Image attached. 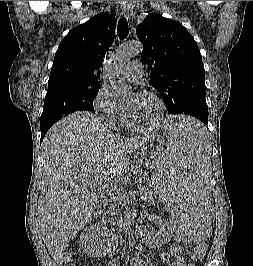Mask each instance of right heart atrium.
<instances>
[{"instance_id":"right-heart-atrium-1","label":"right heart atrium","mask_w":253,"mask_h":266,"mask_svg":"<svg viewBox=\"0 0 253 266\" xmlns=\"http://www.w3.org/2000/svg\"><path fill=\"white\" fill-rule=\"evenodd\" d=\"M93 107L99 117L108 125H121L126 120L123 108L105 86H101L97 91L93 100Z\"/></svg>"}]
</instances>
